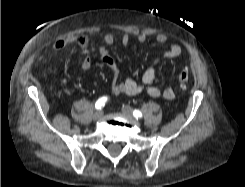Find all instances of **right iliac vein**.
<instances>
[{"label":"right iliac vein","mask_w":245,"mask_h":187,"mask_svg":"<svg viewBox=\"0 0 245 187\" xmlns=\"http://www.w3.org/2000/svg\"><path fill=\"white\" fill-rule=\"evenodd\" d=\"M102 116H103V112L102 111H97L93 115V120L97 121V120L101 119Z\"/></svg>","instance_id":"1"}]
</instances>
